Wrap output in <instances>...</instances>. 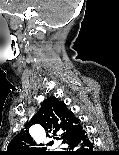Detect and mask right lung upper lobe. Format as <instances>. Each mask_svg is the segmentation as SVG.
Returning a JSON list of instances; mask_svg holds the SVG:
<instances>
[{
	"label": "right lung upper lobe",
	"instance_id": "obj_1",
	"mask_svg": "<svg viewBox=\"0 0 119 155\" xmlns=\"http://www.w3.org/2000/svg\"><path fill=\"white\" fill-rule=\"evenodd\" d=\"M33 124H40L46 132L52 135L60 134L63 143L78 132L82 126L73 112L66 108V104L55 97H50L42 103L41 109L27 123L26 128ZM56 138V137H54ZM53 141L47 145H52ZM28 130L21 131L12 139L4 155H56V152L46 151L45 148L35 147Z\"/></svg>",
	"mask_w": 119,
	"mask_h": 155
}]
</instances>
